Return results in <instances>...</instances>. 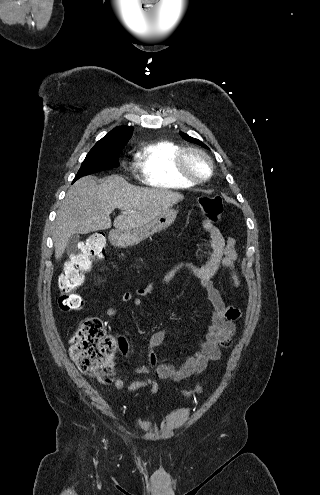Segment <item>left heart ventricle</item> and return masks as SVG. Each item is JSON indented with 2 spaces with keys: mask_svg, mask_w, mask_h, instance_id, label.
<instances>
[{
  "mask_svg": "<svg viewBox=\"0 0 320 495\" xmlns=\"http://www.w3.org/2000/svg\"><path fill=\"white\" fill-rule=\"evenodd\" d=\"M186 165L188 170L196 176H205L208 173L206 161L198 154H189Z\"/></svg>",
  "mask_w": 320,
  "mask_h": 495,
  "instance_id": "left-heart-ventricle-1",
  "label": "left heart ventricle"
}]
</instances>
